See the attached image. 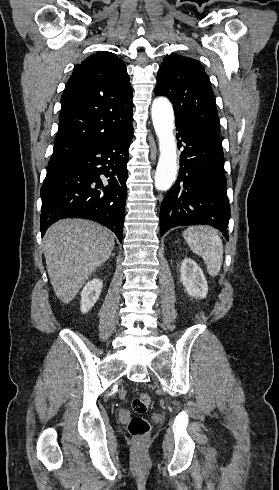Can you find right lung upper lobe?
Returning <instances> with one entry per match:
<instances>
[{"mask_svg": "<svg viewBox=\"0 0 279 490\" xmlns=\"http://www.w3.org/2000/svg\"><path fill=\"white\" fill-rule=\"evenodd\" d=\"M49 164L89 150L132 127V88L125 63L98 52L77 65L61 96Z\"/></svg>", "mask_w": 279, "mask_h": 490, "instance_id": "obj_1", "label": "right lung upper lobe"}]
</instances>
